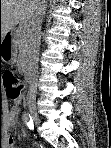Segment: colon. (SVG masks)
<instances>
[{"label":"colon","mask_w":111,"mask_h":148,"mask_svg":"<svg viewBox=\"0 0 111 148\" xmlns=\"http://www.w3.org/2000/svg\"><path fill=\"white\" fill-rule=\"evenodd\" d=\"M6 88L7 97L11 100H17L21 96L22 86L18 75L11 70L4 71L0 76Z\"/></svg>","instance_id":"colon-1"}]
</instances>
